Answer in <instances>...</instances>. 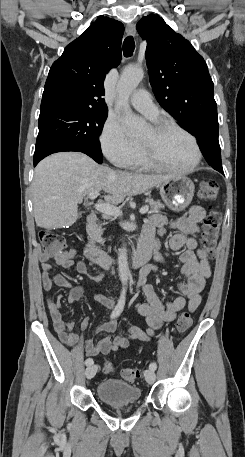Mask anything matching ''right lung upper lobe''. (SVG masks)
Returning a JSON list of instances; mask_svg holds the SVG:
<instances>
[{"label":"right lung upper lobe","mask_w":245,"mask_h":457,"mask_svg":"<svg viewBox=\"0 0 245 457\" xmlns=\"http://www.w3.org/2000/svg\"><path fill=\"white\" fill-rule=\"evenodd\" d=\"M123 33L121 22L100 16L67 45L49 71L40 111L68 106L107 110L103 81L121 61Z\"/></svg>","instance_id":"right-lung-upper-lobe-1"}]
</instances>
